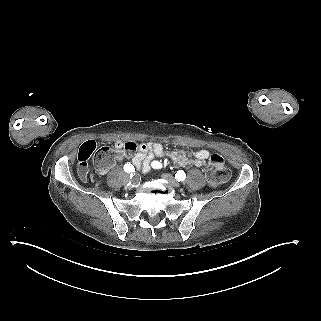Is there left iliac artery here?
<instances>
[{
  "label": "left iliac artery",
  "instance_id": "left-iliac-artery-1",
  "mask_svg": "<svg viewBox=\"0 0 321 321\" xmlns=\"http://www.w3.org/2000/svg\"><path fill=\"white\" fill-rule=\"evenodd\" d=\"M152 166L155 168H159V167H161V164L157 161H154L152 163ZM175 177L177 178L178 182H181V181H184V179L186 178V174L183 170H179V171H177Z\"/></svg>",
  "mask_w": 321,
  "mask_h": 321
}]
</instances>
